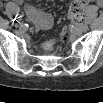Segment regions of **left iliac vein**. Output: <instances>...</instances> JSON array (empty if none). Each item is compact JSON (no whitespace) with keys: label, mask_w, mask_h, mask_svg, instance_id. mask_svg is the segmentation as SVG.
Here are the masks:
<instances>
[{"label":"left iliac vein","mask_w":103,"mask_h":103,"mask_svg":"<svg viewBox=\"0 0 103 103\" xmlns=\"http://www.w3.org/2000/svg\"><path fill=\"white\" fill-rule=\"evenodd\" d=\"M78 29H79L80 31H82V32H85V31L88 30V26H87V24H81V25L78 27Z\"/></svg>","instance_id":"4c4485c4"}]
</instances>
